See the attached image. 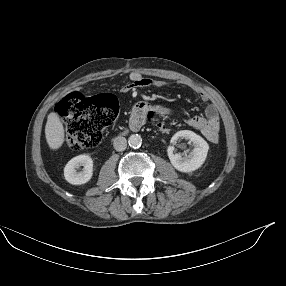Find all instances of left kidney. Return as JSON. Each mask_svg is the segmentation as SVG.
I'll use <instances>...</instances> for the list:
<instances>
[{"instance_id":"5707ae66","label":"left kidney","mask_w":286,"mask_h":286,"mask_svg":"<svg viewBox=\"0 0 286 286\" xmlns=\"http://www.w3.org/2000/svg\"><path fill=\"white\" fill-rule=\"evenodd\" d=\"M186 139L192 142L194 148L189 154L185 152L182 154H174V147L169 146L167 149L171 164L180 172H192L201 167L204 163L209 145L208 143L196 133L189 130H181L175 133L171 139V143L175 144L179 139Z\"/></svg>"}]
</instances>
